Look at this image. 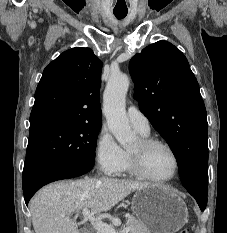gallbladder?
Listing matches in <instances>:
<instances>
[{
    "label": "gallbladder",
    "mask_w": 227,
    "mask_h": 233,
    "mask_svg": "<svg viewBox=\"0 0 227 233\" xmlns=\"http://www.w3.org/2000/svg\"><path fill=\"white\" fill-rule=\"evenodd\" d=\"M79 233H83L82 230H80Z\"/></svg>",
    "instance_id": "bac80fb5"
}]
</instances>
